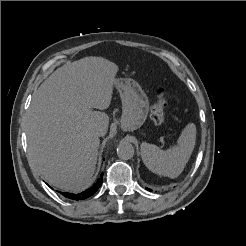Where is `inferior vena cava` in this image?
Wrapping results in <instances>:
<instances>
[{"label": "inferior vena cava", "mask_w": 246, "mask_h": 246, "mask_svg": "<svg viewBox=\"0 0 246 246\" xmlns=\"http://www.w3.org/2000/svg\"><path fill=\"white\" fill-rule=\"evenodd\" d=\"M94 134H95L96 136H101V135H102V129H101V128H95Z\"/></svg>", "instance_id": "inferior-vena-cava-1"}]
</instances>
